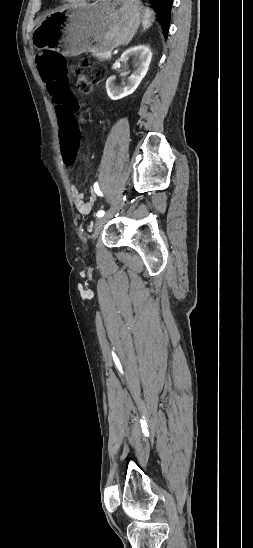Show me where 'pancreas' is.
I'll list each match as a JSON object with an SVG mask.
<instances>
[{"label":"pancreas","mask_w":253,"mask_h":548,"mask_svg":"<svg viewBox=\"0 0 253 548\" xmlns=\"http://www.w3.org/2000/svg\"><path fill=\"white\" fill-rule=\"evenodd\" d=\"M93 55L96 56L99 60H109L111 59V52H96L93 51Z\"/></svg>","instance_id":"obj_1"}]
</instances>
